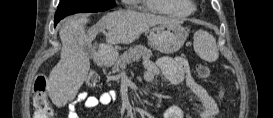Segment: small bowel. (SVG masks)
I'll list each match as a JSON object with an SVG mask.
<instances>
[{
    "instance_id": "obj_1",
    "label": "small bowel",
    "mask_w": 273,
    "mask_h": 118,
    "mask_svg": "<svg viewBox=\"0 0 273 118\" xmlns=\"http://www.w3.org/2000/svg\"><path fill=\"white\" fill-rule=\"evenodd\" d=\"M163 75L173 85H180L185 83L189 89L191 98L198 106L199 118H215L218 113V105L214 98L209 95L207 90L200 85L192 76L189 63L186 59L181 57L160 58L154 65H152L145 75L148 82H152L156 77ZM115 98L113 91H105L99 95H87L80 93L77 98L68 106V118H78L76 112V104L83 102L84 107L88 110L95 109L101 105L111 103ZM182 110L177 106L168 107L164 113L163 118H183Z\"/></svg>"
}]
</instances>
